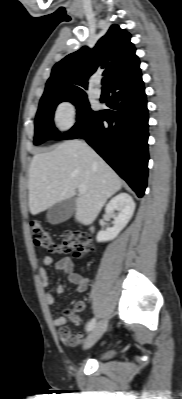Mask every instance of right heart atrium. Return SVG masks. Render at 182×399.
<instances>
[{
    "instance_id": "obj_1",
    "label": "right heart atrium",
    "mask_w": 182,
    "mask_h": 399,
    "mask_svg": "<svg viewBox=\"0 0 182 399\" xmlns=\"http://www.w3.org/2000/svg\"><path fill=\"white\" fill-rule=\"evenodd\" d=\"M78 105L73 101H63L55 109L53 121L59 131L71 129L78 117Z\"/></svg>"
}]
</instances>
